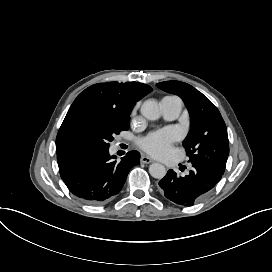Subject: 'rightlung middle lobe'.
<instances>
[{
	"instance_id": "dd1d6c3e",
	"label": "right lung middle lobe",
	"mask_w": 272,
	"mask_h": 272,
	"mask_svg": "<svg viewBox=\"0 0 272 272\" xmlns=\"http://www.w3.org/2000/svg\"><path fill=\"white\" fill-rule=\"evenodd\" d=\"M129 129V120L121 121L107 113L84 110L57 135V153L67 150L108 149L114 135Z\"/></svg>"
}]
</instances>
